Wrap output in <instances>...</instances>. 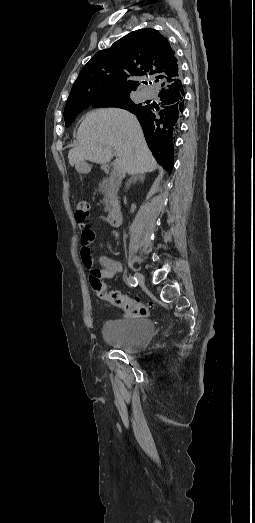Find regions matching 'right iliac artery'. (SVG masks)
I'll return each instance as SVG.
<instances>
[{
  "mask_svg": "<svg viewBox=\"0 0 255 523\" xmlns=\"http://www.w3.org/2000/svg\"><path fill=\"white\" fill-rule=\"evenodd\" d=\"M126 282L129 286L131 287H136L137 284H138V280L136 277L134 276H129L127 279H126Z\"/></svg>",
  "mask_w": 255,
  "mask_h": 523,
  "instance_id": "obj_1",
  "label": "right iliac artery"
}]
</instances>
